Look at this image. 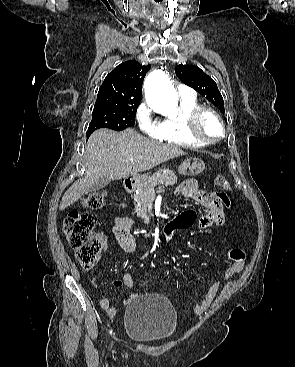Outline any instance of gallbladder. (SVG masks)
I'll list each match as a JSON object with an SVG mask.
<instances>
[{
    "mask_svg": "<svg viewBox=\"0 0 295 367\" xmlns=\"http://www.w3.org/2000/svg\"><path fill=\"white\" fill-rule=\"evenodd\" d=\"M111 182L110 179L108 178H100L97 182H95L90 188H89V192H94L97 190H100L102 188H104L105 186H107L109 183Z\"/></svg>",
    "mask_w": 295,
    "mask_h": 367,
    "instance_id": "1",
    "label": "gallbladder"
}]
</instances>
